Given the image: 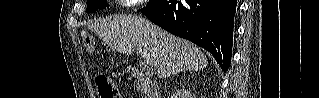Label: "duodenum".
<instances>
[{"label":"duodenum","mask_w":319,"mask_h":98,"mask_svg":"<svg viewBox=\"0 0 319 98\" xmlns=\"http://www.w3.org/2000/svg\"><path fill=\"white\" fill-rule=\"evenodd\" d=\"M128 73L130 76L139 80L142 83V86L146 94V98H160L159 85L156 81L146 76L135 66H129Z\"/></svg>","instance_id":"1"}]
</instances>
